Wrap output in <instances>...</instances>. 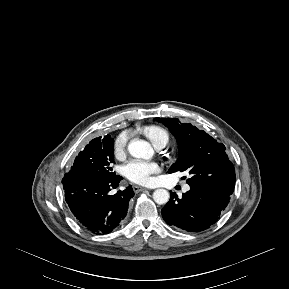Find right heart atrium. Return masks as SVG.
<instances>
[{
	"label": "right heart atrium",
	"instance_id": "right-heart-atrium-1",
	"mask_svg": "<svg viewBox=\"0 0 289 289\" xmlns=\"http://www.w3.org/2000/svg\"><path fill=\"white\" fill-rule=\"evenodd\" d=\"M127 141L128 134L126 132H122L116 137L114 141V152L116 155L121 156L124 153Z\"/></svg>",
	"mask_w": 289,
	"mask_h": 289
}]
</instances>
